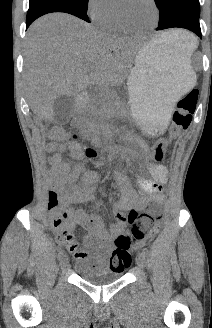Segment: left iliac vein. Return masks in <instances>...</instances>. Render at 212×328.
Masks as SVG:
<instances>
[{"instance_id":"1","label":"left iliac vein","mask_w":212,"mask_h":328,"mask_svg":"<svg viewBox=\"0 0 212 328\" xmlns=\"http://www.w3.org/2000/svg\"><path fill=\"white\" fill-rule=\"evenodd\" d=\"M145 263V256L143 253H138L136 257V264L138 267H143Z\"/></svg>"}]
</instances>
